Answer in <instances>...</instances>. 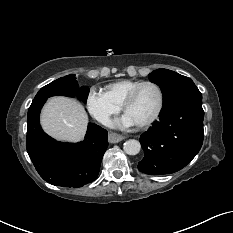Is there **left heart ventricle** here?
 <instances>
[{"label":"left heart ventricle","instance_id":"left-heart-ventricle-1","mask_svg":"<svg viewBox=\"0 0 233 233\" xmlns=\"http://www.w3.org/2000/svg\"><path fill=\"white\" fill-rule=\"evenodd\" d=\"M159 95L154 86L146 85L139 91L136 99L128 106V114L136 123L147 120L156 110Z\"/></svg>","mask_w":233,"mask_h":233}]
</instances>
